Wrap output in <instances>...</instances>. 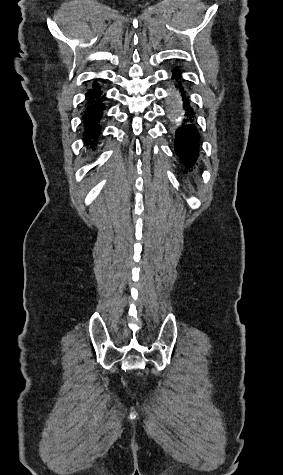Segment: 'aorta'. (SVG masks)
Returning a JSON list of instances; mask_svg holds the SVG:
<instances>
[{
  "mask_svg": "<svg viewBox=\"0 0 283 475\" xmlns=\"http://www.w3.org/2000/svg\"><path fill=\"white\" fill-rule=\"evenodd\" d=\"M182 115H183V111H182V108H181V103H180V100L178 98V95H176V93H175V103H174L173 107L171 108L170 117L175 122H180L182 120Z\"/></svg>",
  "mask_w": 283,
  "mask_h": 475,
  "instance_id": "1",
  "label": "aorta"
}]
</instances>
